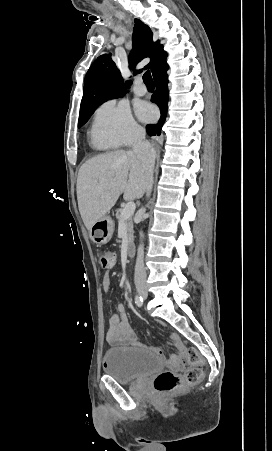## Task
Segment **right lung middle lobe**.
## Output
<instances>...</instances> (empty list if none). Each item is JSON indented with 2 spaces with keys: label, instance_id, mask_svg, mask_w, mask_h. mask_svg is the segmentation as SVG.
<instances>
[{
  "label": "right lung middle lobe",
  "instance_id": "obj_1",
  "mask_svg": "<svg viewBox=\"0 0 272 451\" xmlns=\"http://www.w3.org/2000/svg\"><path fill=\"white\" fill-rule=\"evenodd\" d=\"M94 110H95V108H90V109L80 111V116H79V121H78L79 128L88 121V119L90 118V116L92 115Z\"/></svg>",
  "mask_w": 272,
  "mask_h": 451
}]
</instances>
